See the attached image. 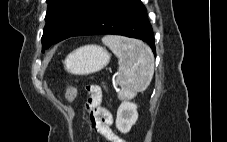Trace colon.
Here are the masks:
<instances>
[{
  "instance_id": "1",
  "label": "colon",
  "mask_w": 227,
  "mask_h": 142,
  "mask_svg": "<svg viewBox=\"0 0 227 142\" xmlns=\"http://www.w3.org/2000/svg\"><path fill=\"white\" fill-rule=\"evenodd\" d=\"M75 95H76L75 88L72 85H69L65 94L66 100L69 102L72 101Z\"/></svg>"
}]
</instances>
